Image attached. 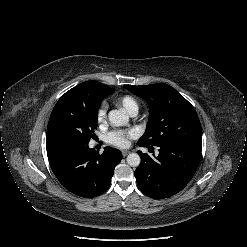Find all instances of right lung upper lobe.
Wrapping results in <instances>:
<instances>
[{"instance_id": "cb5924a9", "label": "right lung upper lobe", "mask_w": 247, "mask_h": 247, "mask_svg": "<svg viewBox=\"0 0 247 247\" xmlns=\"http://www.w3.org/2000/svg\"><path fill=\"white\" fill-rule=\"evenodd\" d=\"M113 91V89L98 81H86L69 90V92L80 95L97 96L101 101Z\"/></svg>"}]
</instances>
